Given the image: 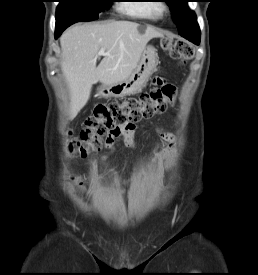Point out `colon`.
I'll use <instances>...</instances> for the list:
<instances>
[{"instance_id": "colon-1", "label": "colon", "mask_w": 258, "mask_h": 275, "mask_svg": "<svg viewBox=\"0 0 258 275\" xmlns=\"http://www.w3.org/2000/svg\"><path fill=\"white\" fill-rule=\"evenodd\" d=\"M161 48L172 58L187 61L193 57L194 49L188 43L172 37L161 40ZM156 87L138 97L122 102L98 105L92 116L85 121L79 136L68 142L70 152L85 156L89 148L100 149L103 144L122 131L135 129V123L155 114L164 113L173 103L174 88L162 80L155 81Z\"/></svg>"}]
</instances>
